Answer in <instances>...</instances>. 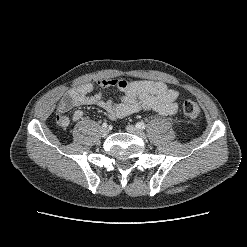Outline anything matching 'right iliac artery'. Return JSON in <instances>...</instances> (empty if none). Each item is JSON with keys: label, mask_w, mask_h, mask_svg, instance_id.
<instances>
[{"label": "right iliac artery", "mask_w": 247, "mask_h": 247, "mask_svg": "<svg viewBox=\"0 0 247 247\" xmlns=\"http://www.w3.org/2000/svg\"><path fill=\"white\" fill-rule=\"evenodd\" d=\"M102 126L106 128L108 125H107L106 122H104V123L102 124Z\"/></svg>", "instance_id": "right-iliac-artery-1"}]
</instances>
